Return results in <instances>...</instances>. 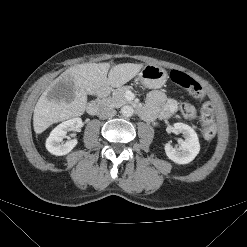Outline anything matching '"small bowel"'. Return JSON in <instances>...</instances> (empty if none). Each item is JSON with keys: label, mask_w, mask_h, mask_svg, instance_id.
<instances>
[{"label": "small bowel", "mask_w": 247, "mask_h": 247, "mask_svg": "<svg viewBox=\"0 0 247 247\" xmlns=\"http://www.w3.org/2000/svg\"><path fill=\"white\" fill-rule=\"evenodd\" d=\"M177 109V102L169 99L161 91H153L149 94L147 104L142 109V116L151 120L155 117L169 118Z\"/></svg>", "instance_id": "small-bowel-1"}]
</instances>
